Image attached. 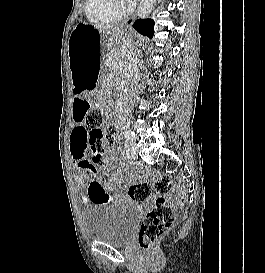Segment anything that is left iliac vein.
<instances>
[{"mask_svg": "<svg viewBox=\"0 0 265 273\" xmlns=\"http://www.w3.org/2000/svg\"><path fill=\"white\" fill-rule=\"evenodd\" d=\"M125 146H126V150H127L128 155L130 156V158L136 159L137 152H136L135 139H133V140L126 139Z\"/></svg>", "mask_w": 265, "mask_h": 273, "instance_id": "4c4485c4", "label": "left iliac vein"}]
</instances>
